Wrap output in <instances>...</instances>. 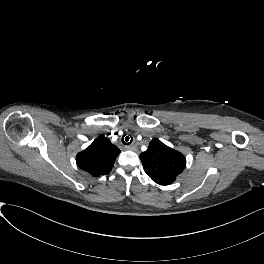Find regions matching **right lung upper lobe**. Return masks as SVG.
I'll return each mask as SVG.
<instances>
[{
    "label": "right lung upper lobe",
    "mask_w": 264,
    "mask_h": 264,
    "mask_svg": "<svg viewBox=\"0 0 264 264\" xmlns=\"http://www.w3.org/2000/svg\"><path fill=\"white\" fill-rule=\"evenodd\" d=\"M120 150L104 136L95 139L92 144L76 156L77 165L92 176L108 174L119 155Z\"/></svg>",
    "instance_id": "cb5924a9"
}]
</instances>
